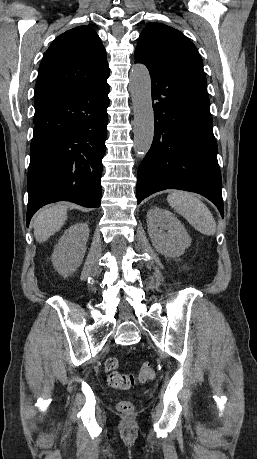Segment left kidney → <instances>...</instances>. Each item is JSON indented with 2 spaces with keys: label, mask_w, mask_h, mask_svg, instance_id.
<instances>
[{
  "label": "left kidney",
  "mask_w": 257,
  "mask_h": 459,
  "mask_svg": "<svg viewBox=\"0 0 257 459\" xmlns=\"http://www.w3.org/2000/svg\"><path fill=\"white\" fill-rule=\"evenodd\" d=\"M147 227L154 248L166 257L181 256L191 238L178 218L170 211L153 208L147 212Z\"/></svg>",
  "instance_id": "left-kidney-1"
}]
</instances>
